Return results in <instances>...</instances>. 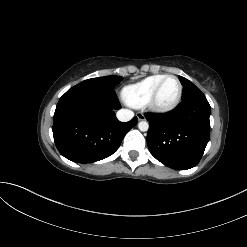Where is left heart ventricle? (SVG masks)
Masks as SVG:
<instances>
[{
    "label": "left heart ventricle",
    "instance_id": "left-heart-ventricle-1",
    "mask_svg": "<svg viewBox=\"0 0 247 247\" xmlns=\"http://www.w3.org/2000/svg\"><path fill=\"white\" fill-rule=\"evenodd\" d=\"M178 94V83L175 79H167L162 85L159 95L158 103L160 105H168L172 103Z\"/></svg>",
    "mask_w": 247,
    "mask_h": 247
}]
</instances>
